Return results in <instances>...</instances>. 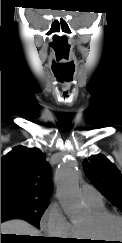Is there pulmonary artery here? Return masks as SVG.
Listing matches in <instances>:
<instances>
[{
	"mask_svg": "<svg viewBox=\"0 0 122 243\" xmlns=\"http://www.w3.org/2000/svg\"><path fill=\"white\" fill-rule=\"evenodd\" d=\"M81 191L84 201L89 205L102 203V196L100 192L93 186L84 184L81 186Z\"/></svg>",
	"mask_w": 122,
	"mask_h": 243,
	"instance_id": "obj_1",
	"label": "pulmonary artery"
}]
</instances>
